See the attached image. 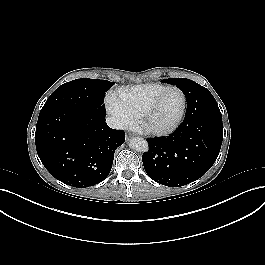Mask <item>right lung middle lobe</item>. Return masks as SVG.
<instances>
[{"mask_svg": "<svg viewBox=\"0 0 265 265\" xmlns=\"http://www.w3.org/2000/svg\"><path fill=\"white\" fill-rule=\"evenodd\" d=\"M114 83L97 79H76L59 86L47 99L42 110L67 107L92 110L106 115L104 97Z\"/></svg>", "mask_w": 265, "mask_h": 265, "instance_id": "right-lung-middle-lobe-1", "label": "right lung middle lobe"}]
</instances>
